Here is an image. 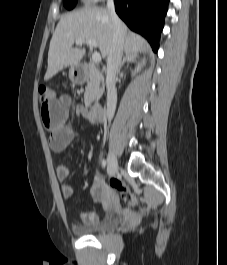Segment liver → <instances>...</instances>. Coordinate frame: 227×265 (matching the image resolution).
<instances>
[{
  "label": "liver",
  "mask_w": 227,
  "mask_h": 265,
  "mask_svg": "<svg viewBox=\"0 0 227 265\" xmlns=\"http://www.w3.org/2000/svg\"><path fill=\"white\" fill-rule=\"evenodd\" d=\"M121 28L124 37L123 49L126 53L137 54L142 49L148 48L141 36L128 34V28L122 21ZM78 38L95 40L102 56L107 57L113 38V23L109 11L86 7L61 17L50 41L48 67L44 80H49L65 67L79 66L86 49L72 48Z\"/></svg>",
  "instance_id": "liver-1"
}]
</instances>
